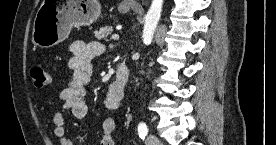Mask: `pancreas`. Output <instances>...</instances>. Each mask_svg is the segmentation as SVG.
I'll use <instances>...</instances> for the list:
<instances>
[{
    "mask_svg": "<svg viewBox=\"0 0 276 145\" xmlns=\"http://www.w3.org/2000/svg\"><path fill=\"white\" fill-rule=\"evenodd\" d=\"M113 32V28L110 26H105L99 29V31H96L95 38L98 40L106 39L108 35H110Z\"/></svg>",
    "mask_w": 276,
    "mask_h": 145,
    "instance_id": "1",
    "label": "pancreas"
}]
</instances>
